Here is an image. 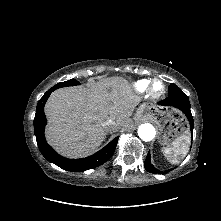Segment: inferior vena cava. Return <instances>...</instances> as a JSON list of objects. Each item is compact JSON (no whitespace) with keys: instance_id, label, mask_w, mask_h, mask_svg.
Returning a JSON list of instances; mask_svg holds the SVG:
<instances>
[{"instance_id":"obj_1","label":"inferior vena cava","mask_w":221,"mask_h":221,"mask_svg":"<svg viewBox=\"0 0 221 221\" xmlns=\"http://www.w3.org/2000/svg\"><path fill=\"white\" fill-rule=\"evenodd\" d=\"M107 132L116 131L118 129V125L112 120L108 119L103 123Z\"/></svg>"}]
</instances>
